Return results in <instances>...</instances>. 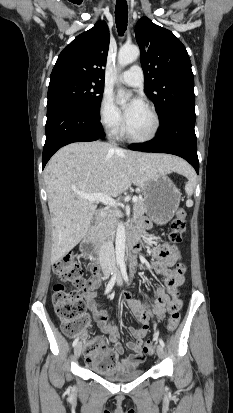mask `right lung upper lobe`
Listing matches in <instances>:
<instances>
[{
  "mask_svg": "<svg viewBox=\"0 0 233 413\" xmlns=\"http://www.w3.org/2000/svg\"><path fill=\"white\" fill-rule=\"evenodd\" d=\"M109 29L104 21L77 36L60 53L50 76V82L76 78L104 84L109 48Z\"/></svg>",
  "mask_w": 233,
  "mask_h": 413,
  "instance_id": "obj_1",
  "label": "right lung upper lobe"
}]
</instances>
